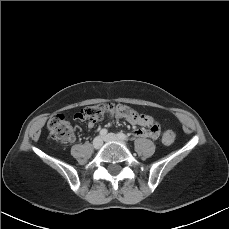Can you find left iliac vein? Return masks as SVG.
I'll use <instances>...</instances> for the list:
<instances>
[{
  "mask_svg": "<svg viewBox=\"0 0 229 229\" xmlns=\"http://www.w3.org/2000/svg\"><path fill=\"white\" fill-rule=\"evenodd\" d=\"M103 140L106 141V142H109V141H117V142H120V143H122V144H125V142H124L122 139H120V138L118 137V135L113 134V133H109V134H107L106 136H104Z\"/></svg>",
  "mask_w": 229,
  "mask_h": 229,
  "instance_id": "obj_1",
  "label": "left iliac vein"
}]
</instances>
